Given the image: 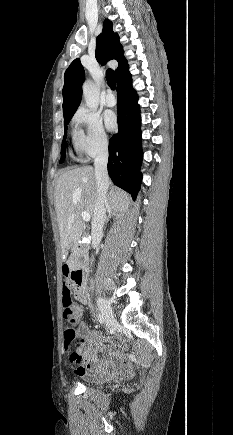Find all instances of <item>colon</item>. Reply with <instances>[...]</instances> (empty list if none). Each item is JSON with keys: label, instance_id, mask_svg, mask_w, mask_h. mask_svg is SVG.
Instances as JSON below:
<instances>
[{"label": "colon", "instance_id": "5ec220e1", "mask_svg": "<svg viewBox=\"0 0 233 435\" xmlns=\"http://www.w3.org/2000/svg\"><path fill=\"white\" fill-rule=\"evenodd\" d=\"M63 279L65 283H75L76 276L73 270L68 266L63 267ZM63 318L65 320V328L63 332L64 348L70 351V361L72 363H78L81 360V353L76 349L79 344V338L76 334V319L79 315V310L72 304L69 296L63 297Z\"/></svg>", "mask_w": 233, "mask_h": 435}]
</instances>
